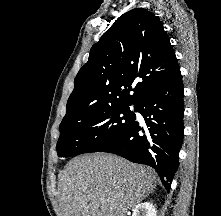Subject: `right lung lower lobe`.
Here are the masks:
<instances>
[{
	"mask_svg": "<svg viewBox=\"0 0 221 216\" xmlns=\"http://www.w3.org/2000/svg\"><path fill=\"white\" fill-rule=\"evenodd\" d=\"M183 97L182 75L178 70L136 104V111L143 116L147 128L135 120L99 152L153 167L169 191L183 142Z\"/></svg>",
	"mask_w": 221,
	"mask_h": 216,
	"instance_id": "98d812e1",
	"label": "right lung lower lobe"
}]
</instances>
